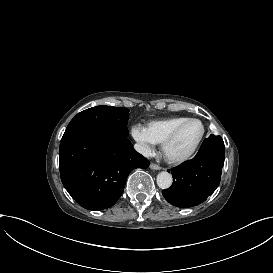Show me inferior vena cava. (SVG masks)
<instances>
[{
  "instance_id": "1",
  "label": "inferior vena cava",
  "mask_w": 273,
  "mask_h": 273,
  "mask_svg": "<svg viewBox=\"0 0 273 273\" xmlns=\"http://www.w3.org/2000/svg\"><path fill=\"white\" fill-rule=\"evenodd\" d=\"M134 148L137 152H139L140 154H142L145 157H149V149L146 148L145 146L141 145V144H135Z\"/></svg>"
}]
</instances>
